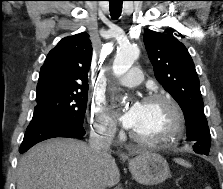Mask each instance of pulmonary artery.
Here are the masks:
<instances>
[{"label":"pulmonary artery","instance_id":"e3ab8cb5","mask_svg":"<svg viewBox=\"0 0 223 189\" xmlns=\"http://www.w3.org/2000/svg\"><path fill=\"white\" fill-rule=\"evenodd\" d=\"M142 71L139 68H132L127 74L116 79V82L126 86L135 87L142 81Z\"/></svg>","mask_w":223,"mask_h":189}]
</instances>
